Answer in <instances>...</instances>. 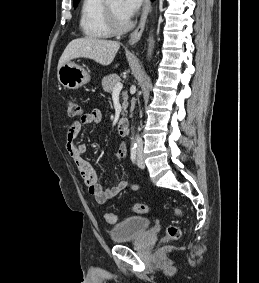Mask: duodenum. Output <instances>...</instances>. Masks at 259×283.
<instances>
[{"instance_id":"1","label":"duodenum","mask_w":259,"mask_h":283,"mask_svg":"<svg viewBox=\"0 0 259 283\" xmlns=\"http://www.w3.org/2000/svg\"><path fill=\"white\" fill-rule=\"evenodd\" d=\"M129 120L127 118H121L117 124V133L120 136H125L128 132Z\"/></svg>"}]
</instances>
